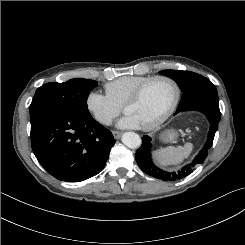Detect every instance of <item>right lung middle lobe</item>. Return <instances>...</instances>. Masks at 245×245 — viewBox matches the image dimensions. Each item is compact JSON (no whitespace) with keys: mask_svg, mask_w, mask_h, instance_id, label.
Wrapping results in <instances>:
<instances>
[{"mask_svg":"<svg viewBox=\"0 0 245 245\" xmlns=\"http://www.w3.org/2000/svg\"><path fill=\"white\" fill-rule=\"evenodd\" d=\"M97 84L94 80L75 78L64 83L42 85L36 90L29 106L30 118L44 110H54L69 116L90 115L87 98Z\"/></svg>","mask_w":245,"mask_h":245,"instance_id":"obj_1","label":"right lung middle lobe"}]
</instances>
